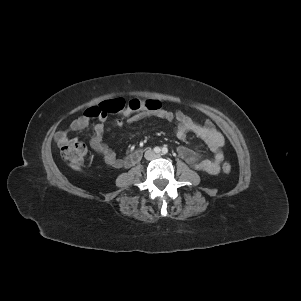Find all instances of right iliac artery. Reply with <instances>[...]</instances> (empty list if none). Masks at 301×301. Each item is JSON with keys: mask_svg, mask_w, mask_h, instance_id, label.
<instances>
[{"mask_svg": "<svg viewBox=\"0 0 301 301\" xmlns=\"http://www.w3.org/2000/svg\"><path fill=\"white\" fill-rule=\"evenodd\" d=\"M154 152L160 153V152H161V148H160V147H155V148H154Z\"/></svg>", "mask_w": 301, "mask_h": 301, "instance_id": "right-iliac-artery-1", "label": "right iliac artery"}]
</instances>
